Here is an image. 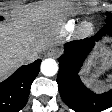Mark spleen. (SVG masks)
<instances>
[{"label":"spleen","instance_id":"3e777b00","mask_svg":"<svg viewBox=\"0 0 112 112\" xmlns=\"http://www.w3.org/2000/svg\"><path fill=\"white\" fill-rule=\"evenodd\" d=\"M96 87L98 90H102L104 88V85L100 83V84H97Z\"/></svg>","mask_w":112,"mask_h":112}]
</instances>
